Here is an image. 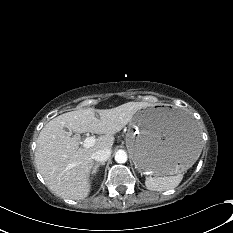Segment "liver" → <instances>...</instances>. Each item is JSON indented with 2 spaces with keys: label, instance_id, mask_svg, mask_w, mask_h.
<instances>
[{
  "label": "liver",
  "instance_id": "1",
  "mask_svg": "<svg viewBox=\"0 0 233 233\" xmlns=\"http://www.w3.org/2000/svg\"><path fill=\"white\" fill-rule=\"evenodd\" d=\"M150 106L146 102H128L118 107L97 110L80 109L49 121L41 130L35 152V165L49 190L55 195L72 200L86 198L91 189L90 173L94 166L92 154L100 149H111L114 134L121 131L137 111ZM64 128L77 134H100L95 145L80 148L78 136H70Z\"/></svg>",
  "mask_w": 233,
  "mask_h": 233
}]
</instances>
